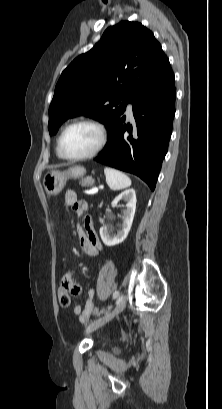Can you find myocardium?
<instances>
[{
	"label": "myocardium",
	"instance_id": "f54148a6",
	"mask_svg": "<svg viewBox=\"0 0 222 409\" xmlns=\"http://www.w3.org/2000/svg\"><path fill=\"white\" fill-rule=\"evenodd\" d=\"M78 125H90L95 127L100 135V139H99V143L98 145L95 147L94 150H92L91 152L84 154V155H80V156H69L67 155L64 150H63V139L65 134L74 126H78ZM108 141V131L106 126L96 120V119H90V118H86V119H80L77 121H74L72 123H70L69 125H67L63 131L61 132L59 139H58V151L61 155L62 158L66 159V160H70V161H81V160H86V159H90L93 158L95 156H97L106 146Z\"/></svg>",
	"mask_w": 222,
	"mask_h": 409
}]
</instances>
